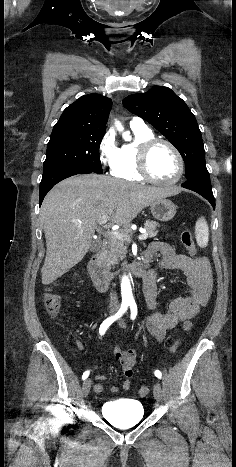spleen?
I'll list each match as a JSON object with an SVG mask.
<instances>
[{
  "label": "spleen",
  "mask_w": 236,
  "mask_h": 467,
  "mask_svg": "<svg viewBox=\"0 0 236 467\" xmlns=\"http://www.w3.org/2000/svg\"><path fill=\"white\" fill-rule=\"evenodd\" d=\"M195 238L200 247H206L209 241V228L205 218L201 217L195 224Z\"/></svg>",
  "instance_id": "obj_1"
}]
</instances>
